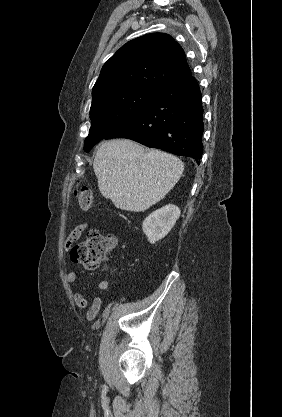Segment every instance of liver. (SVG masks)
Instances as JSON below:
<instances>
[{"mask_svg": "<svg viewBox=\"0 0 282 417\" xmlns=\"http://www.w3.org/2000/svg\"><path fill=\"white\" fill-rule=\"evenodd\" d=\"M100 192L122 211H146L178 182L184 162L162 150L114 138L99 146L93 162Z\"/></svg>", "mask_w": 282, "mask_h": 417, "instance_id": "obj_1", "label": "liver"}]
</instances>
